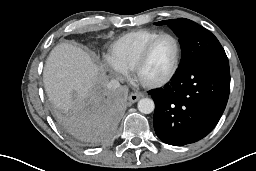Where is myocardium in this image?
<instances>
[{
  "label": "myocardium",
  "instance_id": "f54148a6",
  "mask_svg": "<svg viewBox=\"0 0 256 171\" xmlns=\"http://www.w3.org/2000/svg\"><path fill=\"white\" fill-rule=\"evenodd\" d=\"M165 37L171 38L175 43L176 53H175L173 65L169 70V72L164 77L154 81H145L141 78V75H140L141 70L145 65V63L147 62L154 46L157 44L158 41H160L162 38H165ZM180 61H181V46L178 38L171 33H161L155 38H153L151 41H149L148 44L142 50L140 56L138 57V59L136 60L132 68L133 78L137 83H139L143 87L159 88L167 84L175 76L179 68Z\"/></svg>",
  "mask_w": 256,
  "mask_h": 171
}]
</instances>
